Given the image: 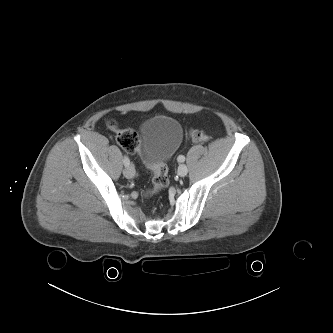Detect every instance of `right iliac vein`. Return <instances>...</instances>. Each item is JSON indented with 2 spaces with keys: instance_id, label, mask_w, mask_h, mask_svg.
<instances>
[{
  "instance_id": "right-iliac-vein-1",
  "label": "right iliac vein",
  "mask_w": 333,
  "mask_h": 333,
  "mask_svg": "<svg viewBox=\"0 0 333 333\" xmlns=\"http://www.w3.org/2000/svg\"><path fill=\"white\" fill-rule=\"evenodd\" d=\"M123 173L126 178L131 179L135 176V169L132 165H130L124 169Z\"/></svg>"
}]
</instances>
